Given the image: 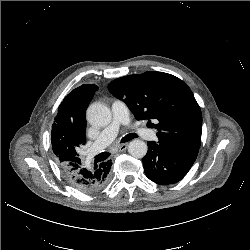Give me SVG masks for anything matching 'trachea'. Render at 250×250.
<instances>
[{"label": "trachea", "instance_id": "trachea-1", "mask_svg": "<svg viewBox=\"0 0 250 250\" xmlns=\"http://www.w3.org/2000/svg\"><path fill=\"white\" fill-rule=\"evenodd\" d=\"M136 137H138L137 134L131 133V134H128L125 137H123L121 142L125 143V142H128V141L136 138ZM100 156L104 160V159H107L110 156V153L109 152H103V153L100 154Z\"/></svg>", "mask_w": 250, "mask_h": 250}]
</instances>
